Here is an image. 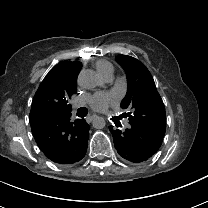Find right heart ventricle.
Wrapping results in <instances>:
<instances>
[{
	"label": "right heart ventricle",
	"instance_id": "obj_1",
	"mask_svg": "<svg viewBox=\"0 0 208 208\" xmlns=\"http://www.w3.org/2000/svg\"><path fill=\"white\" fill-rule=\"evenodd\" d=\"M95 67L98 73L103 77L111 73L113 74V66L110 62L106 60L97 61Z\"/></svg>",
	"mask_w": 208,
	"mask_h": 208
}]
</instances>
